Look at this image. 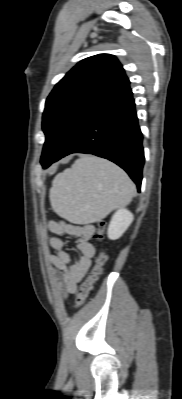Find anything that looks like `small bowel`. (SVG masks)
<instances>
[{
    "instance_id": "small-bowel-1",
    "label": "small bowel",
    "mask_w": 182,
    "mask_h": 399,
    "mask_svg": "<svg viewBox=\"0 0 182 399\" xmlns=\"http://www.w3.org/2000/svg\"><path fill=\"white\" fill-rule=\"evenodd\" d=\"M49 229L54 234L49 239L54 253L48 255L54 284L58 294L66 297L76 292L77 285L84 279L92 266L96 250L90 239L95 233V227L92 224L77 225L65 221H51ZM62 236L76 239L80 252L77 259H74L65 250L66 243Z\"/></svg>"
}]
</instances>
